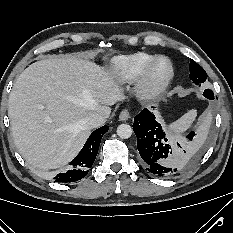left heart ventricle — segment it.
I'll return each mask as SVG.
<instances>
[{
    "instance_id": "left-heart-ventricle-1",
    "label": "left heart ventricle",
    "mask_w": 233,
    "mask_h": 233,
    "mask_svg": "<svg viewBox=\"0 0 233 233\" xmlns=\"http://www.w3.org/2000/svg\"><path fill=\"white\" fill-rule=\"evenodd\" d=\"M167 72H168V66L166 62H161L154 70V76L156 78H162L167 74Z\"/></svg>"
}]
</instances>
